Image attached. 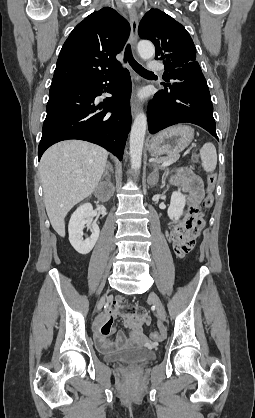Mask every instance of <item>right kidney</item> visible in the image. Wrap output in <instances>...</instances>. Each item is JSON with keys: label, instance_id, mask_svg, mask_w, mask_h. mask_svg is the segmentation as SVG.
Wrapping results in <instances>:
<instances>
[{"label": "right kidney", "instance_id": "right-kidney-1", "mask_svg": "<svg viewBox=\"0 0 255 418\" xmlns=\"http://www.w3.org/2000/svg\"><path fill=\"white\" fill-rule=\"evenodd\" d=\"M85 225L91 230V235L87 239H83V229ZM69 241L73 248L80 254H88L95 246L100 229L93 221V207L90 203L80 205L72 214L69 225Z\"/></svg>", "mask_w": 255, "mask_h": 418}]
</instances>
